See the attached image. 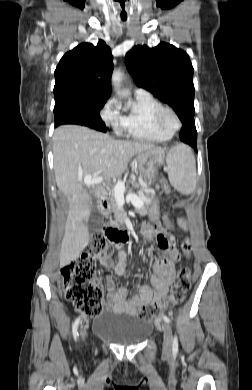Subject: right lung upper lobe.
Wrapping results in <instances>:
<instances>
[{"label":"right lung upper lobe","instance_id":"1","mask_svg":"<svg viewBox=\"0 0 252 390\" xmlns=\"http://www.w3.org/2000/svg\"><path fill=\"white\" fill-rule=\"evenodd\" d=\"M111 49L99 40L67 52L55 70V103L66 100L107 101L113 71Z\"/></svg>","mask_w":252,"mask_h":390}]
</instances>
